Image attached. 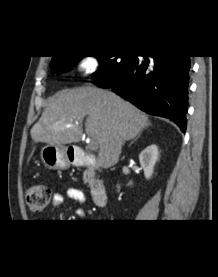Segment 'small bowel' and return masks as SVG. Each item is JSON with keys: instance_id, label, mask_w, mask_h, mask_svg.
Returning a JSON list of instances; mask_svg holds the SVG:
<instances>
[{"instance_id": "small-bowel-1", "label": "small bowel", "mask_w": 218, "mask_h": 277, "mask_svg": "<svg viewBox=\"0 0 218 277\" xmlns=\"http://www.w3.org/2000/svg\"><path fill=\"white\" fill-rule=\"evenodd\" d=\"M66 198L76 201L80 204H84L87 201L86 195L82 190L72 187L68 188L65 194L55 193L52 197V207L55 209L62 207ZM76 212L77 215L81 218L85 216L84 210L82 208H78Z\"/></svg>"}]
</instances>
